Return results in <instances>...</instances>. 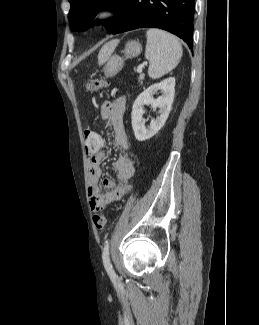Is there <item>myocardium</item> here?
I'll return each instance as SVG.
<instances>
[{
  "mask_svg": "<svg viewBox=\"0 0 259 325\" xmlns=\"http://www.w3.org/2000/svg\"><path fill=\"white\" fill-rule=\"evenodd\" d=\"M116 14V7L112 3H102L94 7L91 12V19L101 22L112 18Z\"/></svg>",
  "mask_w": 259,
  "mask_h": 325,
  "instance_id": "obj_1",
  "label": "myocardium"
}]
</instances>
